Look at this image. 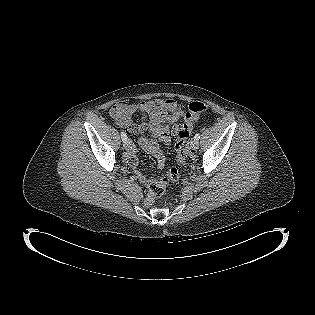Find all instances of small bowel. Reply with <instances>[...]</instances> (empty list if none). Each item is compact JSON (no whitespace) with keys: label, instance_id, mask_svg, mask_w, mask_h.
I'll use <instances>...</instances> for the list:
<instances>
[{"label":"small bowel","instance_id":"small-bowel-1","mask_svg":"<svg viewBox=\"0 0 315 315\" xmlns=\"http://www.w3.org/2000/svg\"><path fill=\"white\" fill-rule=\"evenodd\" d=\"M137 112L143 115V120L140 124L133 125L132 117ZM183 114L184 105L174 99L141 101L137 104L119 101L109 110V115L114 122L118 126L126 128L130 136H138L148 130L151 132V136L142 135L139 144L146 153L157 159L160 168L164 167L166 161L160 143L166 146L171 143V136L176 134L177 131L175 123ZM146 117H149L151 122H147ZM126 162L134 169L137 179L142 184L149 185L150 179L136 170L138 161L135 148L128 152Z\"/></svg>","mask_w":315,"mask_h":315}]
</instances>
